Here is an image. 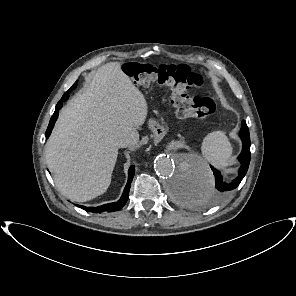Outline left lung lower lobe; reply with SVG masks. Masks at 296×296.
<instances>
[{
    "label": "left lung lower lobe",
    "mask_w": 296,
    "mask_h": 296,
    "mask_svg": "<svg viewBox=\"0 0 296 296\" xmlns=\"http://www.w3.org/2000/svg\"><path fill=\"white\" fill-rule=\"evenodd\" d=\"M239 135L243 143V149L240 155L238 156V160L241 162V167L239 169L238 177L235 178L231 183H225L222 180V176L220 175V172L211 166V169L213 170L215 175V187L217 189L216 191L217 196H222L227 192L237 188L248 170L250 157H251V153H250L251 143H250L249 130H248L246 121L244 120L242 121V128L240 130ZM182 187H187V186L185 183H180L178 190H180ZM204 196H205L204 193H201V194L187 193L185 195L186 199L189 201H197L198 199H201Z\"/></svg>",
    "instance_id": "left-lung-lower-lobe-1"
}]
</instances>
